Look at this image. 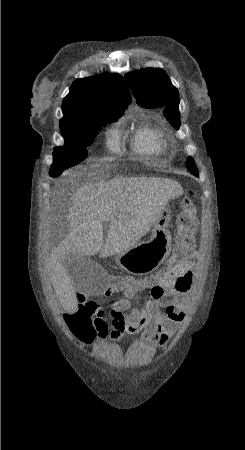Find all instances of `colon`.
Wrapping results in <instances>:
<instances>
[{
  "mask_svg": "<svg viewBox=\"0 0 245 450\" xmlns=\"http://www.w3.org/2000/svg\"><path fill=\"white\" fill-rule=\"evenodd\" d=\"M195 197V193L189 191L181 199L180 213L175 230L173 264L183 262L197 243L195 237L197 227ZM146 280L150 281L151 279L114 275L111 277L109 284L112 289L122 291L124 289L136 288L139 282ZM157 286L159 287L160 293H162L163 288L161 285L158 284ZM78 298L81 303L77 305L76 311L66 319V325L68 330L77 338L91 340L95 337V325L99 323L100 317L104 312L95 301L88 299L87 296L78 293Z\"/></svg>",
  "mask_w": 245,
  "mask_h": 450,
  "instance_id": "colon-1",
  "label": "colon"
}]
</instances>
